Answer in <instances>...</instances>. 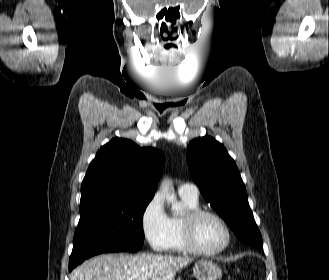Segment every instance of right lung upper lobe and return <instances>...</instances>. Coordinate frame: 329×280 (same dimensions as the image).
I'll use <instances>...</instances> for the list:
<instances>
[{
	"label": "right lung upper lobe",
	"instance_id": "1",
	"mask_svg": "<svg viewBox=\"0 0 329 280\" xmlns=\"http://www.w3.org/2000/svg\"><path fill=\"white\" fill-rule=\"evenodd\" d=\"M155 148L116 138L102 146L81 185V203L120 196L153 197L164 165Z\"/></svg>",
	"mask_w": 329,
	"mask_h": 280
}]
</instances>
